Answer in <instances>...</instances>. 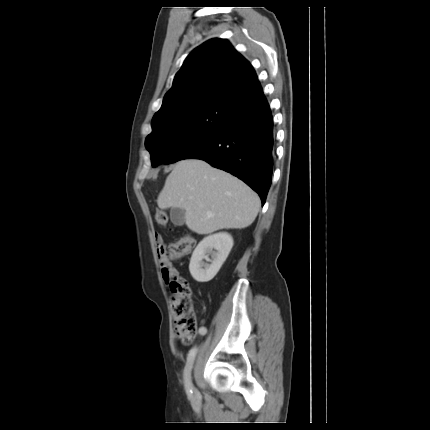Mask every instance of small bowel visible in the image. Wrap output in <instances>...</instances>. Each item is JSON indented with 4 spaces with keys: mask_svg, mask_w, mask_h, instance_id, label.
Masks as SVG:
<instances>
[{
    "mask_svg": "<svg viewBox=\"0 0 430 430\" xmlns=\"http://www.w3.org/2000/svg\"><path fill=\"white\" fill-rule=\"evenodd\" d=\"M155 240H156L157 246L164 244L162 237L159 234H156ZM157 261L160 264L162 281L164 283H171L173 281V277L179 275V271L170 264L168 257L163 251L158 252ZM198 332H199V335L203 336L207 333V328L205 326H201Z\"/></svg>",
    "mask_w": 430,
    "mask_h": 430,
    "instance_id": "c3829d8e",
    "label": "small bowel"
}]
</instances>
